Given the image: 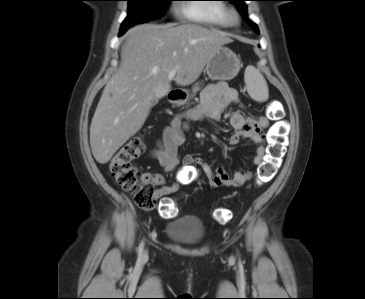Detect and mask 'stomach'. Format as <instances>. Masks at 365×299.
Wrapping results in <instances>:
<instances>
[{"label":"stomach","instance_id":"obj_1","mask_svg":"<svg viewBox=\"0 0 365 299\" xmlns=\"http://www.w3.org/2000/svg\"><path fill=\"white\" fill-rule=\"evenodd\" d=\"M241 63L237 55L227 47H220L206 64V72L212 80H231L240 71ZM186 100L177 99L173 103L183 105Z\"/></svg>","mask_w":365,"mask_h":299}]
</instances>
